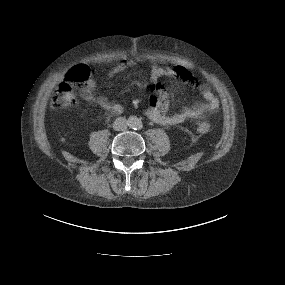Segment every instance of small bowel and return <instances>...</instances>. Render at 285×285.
<instances>
[{
	"label": "small bowel",
	"mask_w": 285,
	"mask_h": 285,
	"mask_svg": "<svg viewBox=\"0 0 285 285\" xmlns=\"http://www.w3.org/2000/svg\"><path fill=\"white\" fill-rule=\"evenodd\" d=\"M135 63L134 60H125L117 63L112 68L113 73H117L126 67H130ZM181 67L184 71L183 74L178 75L176 68ZM167 74H175L185 82H189L196 85V81L191 73L182 66L175 67H163L153 64L151 68L152 88L153 93L150 97V103L146 109V116L153 122L165 126H173L183 123L188 119H200L208 113L215 112L219 108V101L213 94L208 86H201L200 91L204 102L195 104L194 106L182 109L179 112L168 114L169 97L158 82V79ZM96 88V82L91 80L81 90V97L88 101L96 103L99 107L114 114H119L123 111V106L120 103L112 102L105 96H96L94 91Z\"/></svg>",
	"instance_id": "obj_1"
}]
</instances>
